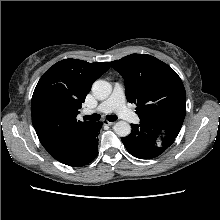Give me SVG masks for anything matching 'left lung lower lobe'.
<instances>
[{
	"mask_svg": "<svg viewBox=\"0 0 220 220\" xmlns=\"http://www.w3.org/2000/svg\"><path fill=\"white\" fill-rule=\"evenodd\" d=\"M131 133L122 138L127 151L140 159H151L162 154L175 137L163 130L157 123L131 124Z\"/></svg>",
	"mask_w": 220,
	"mask_h": 220,
	"instance_id": "left-lung-lower-lobe-1",
	"label": "left lung lower lobe"
}]
</instances>
